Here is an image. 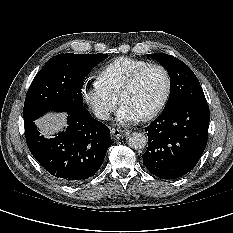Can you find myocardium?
I'll return each mask as SVG.
<instances>
[{"label": "myocardium", "instance_id": "myocardium-1", "mask_svg": "<svg viewBox=\"0 0 233 233\" xmlns=\"http://www.w3.org/2000/svg\"><path fill=\"white\" fill-rule=\"evenodd\" d=\"M150 68H157L164 73L166 78V89L160 102L150 112L142 116L140 118L141 121H149L155 118L167 104L172 91V77L169 70L162 64L149 63L136 70L127 80V82L125 83V85L123 86L122 90L119 93V102L122 103L124 96L134 88V86L137 84L138 80L143 75V73Z\"/></svg>", "mask_w": 233, "mask_h": 233}]
</instances>
